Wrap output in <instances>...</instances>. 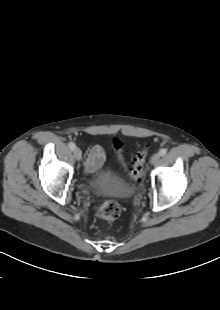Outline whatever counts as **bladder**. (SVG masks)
Masks as SVG:
<instances>
[{"instance_id":"obj_1","label":"bladder","mask_w":220,"mask_h":310,"mask_svg":"<svg viewBox=\"0 0 220 310\" xmlns=\"http://www.w3.org/2000/svg\"><path fill=\"white\" fill-rule=\"evenodd\" d=\"M93 188L106 194H116L128 197L131 195V187L117 174L108 168H103L96 177Z\"/></svg>"}]
</instances>
